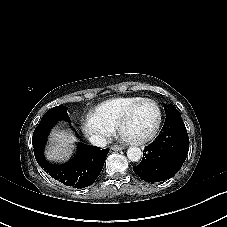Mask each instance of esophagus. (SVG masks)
I'll list each match as a JSON object with an SVG mask.
<instances>
[{"label": "esophagus", "instance_id": "esophagus-1", "mask_svg": "<svg viewBox=\"0 0 227 227\" xmlns=\"http://www.w3.org/2000/svg\"><path fill=\"white\" fill-rule=\"evenodd\" d=\"M125 147L124 146H119V145H113L111 147L112 150H123Z\"/></svg>", "mask_w": 227, "mask_h": 227}]
</instances>
